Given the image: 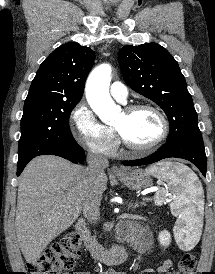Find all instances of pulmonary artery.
I'll list each match as a JSON object with an SVG mask.
<instances>
[{
  "label": "pulmonary artery",
  "instance_id": "e3ab8cb5",
  "mask_svg": "<svg viewBox=\"0 0 215 274\" xmlns=\"http://www.w3.org/2000/svg\"><path fill=\"white\" fill-rule=\"evenodd\" d=\"M110 94L117 101L125 103L128 96V90L124 84L116 81L111 84Z\"/></svg>",
  "mask_w": 215,
  "mask_h": 274
}]
</instances>
